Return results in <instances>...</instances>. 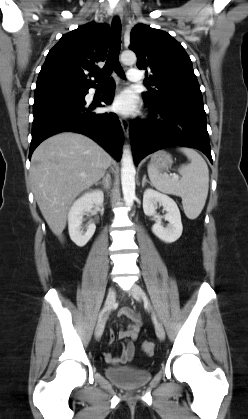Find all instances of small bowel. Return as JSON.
<instances>
[{"label": "small bowel", "instance_id": "c3829d8e", "mask_svg": "<svg viewBox=\"0 0 248 419\" xmlns=\"http://www.w3.org/2000/svg\"><path fill=\"white\" fill-rule=\"evenodd\" d=\"M118 316L126 319L128 323L121 328L116 334L113 330H109L108 339L114 341L116 337L123 341V348L119 355L106 352L104 354L105 361L111 365L119 366L130 362L136 352L134 342L138 338L141 328V316L138 312L130 307H123L119 310Z\"/></svg>", "mask_w": 248, "mask_h": 419}]
</instances>
